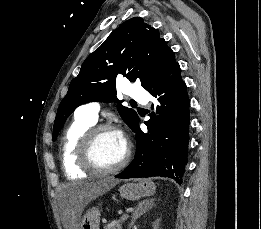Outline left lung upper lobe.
<instances>
[{"label":"left lung upper lobe","mask_w":261,"mask_h":229,"mask_svg":"<svg viewBox=\"0 0 261 229\" xmlns=\"http://www.w3.org/2000/svg\"><path fill=\"white\" fill-rule=\"evenodd\" d=\"M177 63L159 32L142 18L123 22L85 59L78 76L71 81L57 111L53 141L68 116L81 104L120 102L116 98L117 76L123 75L132 82L139 79L146 89ZM117 107L124 122L133 129L136 112L120 103Z\"/></svg>","instance_id":"left-lung-upper-lobe-1"}]
</instances>
